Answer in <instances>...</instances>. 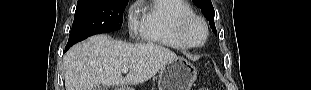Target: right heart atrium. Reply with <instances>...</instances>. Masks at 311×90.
<instances>
[{
  "label": "right heart atrium",
  "mask_w": 311,
  "mask_h": 90,
  "mask_svg": "<svg viewBox=\"0 0 311 90\" xmlns=\"http://www.w3.org/2000/svg\"><path fill=\"white\" fill-rule=\"evenodd\" d=\"M141 22L135 5L131 6L127 12V25L131 36H136L141 31Z\"/></svg>",
  "instance_id": "right-heart-atrium-1"
}]
</instances>
